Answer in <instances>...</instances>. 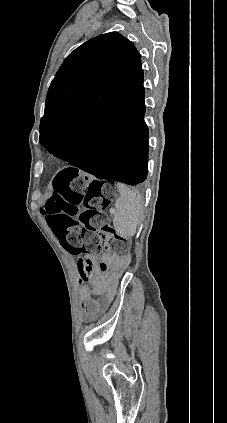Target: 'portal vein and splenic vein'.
I'll use <instances>...</instances> for the list:
<instances>
[{"label": "portal vein and splenic vein", "mask_w": 227, "mask_h": 423, "mask_svg": "<svg viewBox=\"0 0 227 423\" xmlns=\"http://www.w3.org/2000/svg\"><path fill=\"white\" fill-rule=\"evenodd\" d=\"M116 212V209L115 208H112L111 210H110V213L111 214H114Z\"/></svg>", "instance_id": "obj_1"}]
</instances>
